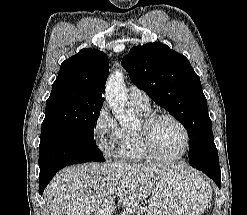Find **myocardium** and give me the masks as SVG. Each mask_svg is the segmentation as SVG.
<instances>
[{
	"instance_id": "obj_1",
	"label": "myocardium",
	"mask_w": 247,
	"mask_h": 215,
	"mask_svg": "<svg viewBox=\"0 0 247 215\" xmlns=\"http://www.w3.org/2000/svg\"><path fill=\"white\" fill-rule=\"evenodd\" d=\"M162 119H169L173 122H175L183 131L184 134V138H185V144H184V149L183 151L177 155V156H165L160 154L153 143V137H152V130L153 127L155 126V124L162 120ZM137 134L140 140V143L143 147V149L145 150V152L147 153V155L153 159V160H158V161H176V160H180L181 158H183L190 147V133L189 130L187 129L186 125L176 116L170 114V113H153L150 114L148 116H146L139 128L137 129Z\"/></svg>"
}]
</instances>
